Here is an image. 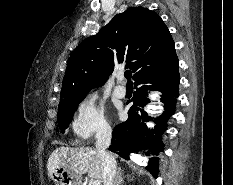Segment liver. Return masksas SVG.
Instances as JSON below:
<instances>
[{
    "instance_id": "obj_1",
    "label": "liver",
    "mask_w": 233,
    "mask_h": 185,
    "mask_svg": "<svg viewBox=\"0 0 233 185\" xmlns=\"http://www.w3.org/2000/svg\"><path fill=\"white\" fill-rule=\"evenodd\" d=\"M56 168H64L82 176L88 173L90 178L102 180L103 166L101 156L90 147L56 148L48 158V176L51 178Z\"/></svg>"
}]
</instances>
